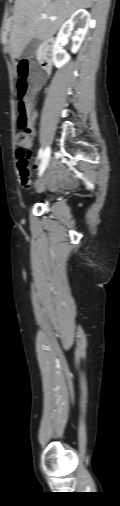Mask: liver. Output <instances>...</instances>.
Listing matches in <instances>:
<instances>
[{"mask_svg": "<svg viewBox=\"0 0 120 506\" xmlns=\"http://www.w3.org/2000/svg\"><path fill=\"white\" fill-rule=\"evenodd\" d=\"M94 0H15L10 30V53L19 58L27 43L50 39L74 12L90 8ZM45 14L47 19L41 16ZM55 17V20L49 19Z\"/></svg>", "mask_w": 120, "mask_h": 506, "instance_id": "6515ba94", "label": "liver"}]
</instances>
